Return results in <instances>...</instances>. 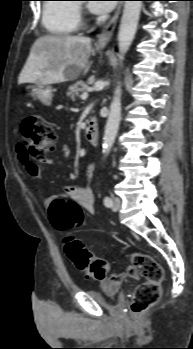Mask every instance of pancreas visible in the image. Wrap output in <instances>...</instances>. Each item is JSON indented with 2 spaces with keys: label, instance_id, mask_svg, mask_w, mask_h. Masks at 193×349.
<instances>
[{
  "label": "pancreas",
  "instance_id": "1",
  "mask_svg": "<svg viewBox=\"0 0 193 349\" xmlns=\"http://www.w3.org/2000/svg\"><path fill=\"white\" fill-rule=\"evenodd\" d=\"M88 85L83 81H77L75 84L68 87L66 95L72 100L75 101L76 98L80 95L81 92H84L87 89Z\"/></svg>",
  "mask_w": 193,
  "mask_h": 349
}]
</instances>
